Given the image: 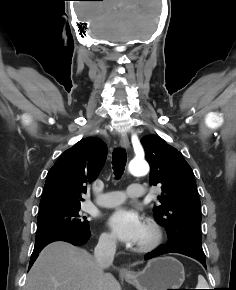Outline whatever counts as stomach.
I'll return each instance as SVG.
<instances>
[{
    "label": "stomach",
    "instance_id": "obj_1",
    "mask_svg": "<svg viewBox=\"0 0 236 290\" xmlns=\"http://www.w3.org/2000/svg\"><path fill=\"white\" fill-rule=\"evenodd\" d=\"M124 278L137 290L179 289L185 280V272L180 261L163 256L148 261L142 271L125 275Z\"/></svg>",
    "mask_w": 236,
    "mask_h": 290
}]
</instances>
